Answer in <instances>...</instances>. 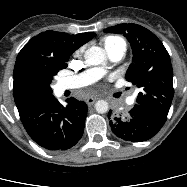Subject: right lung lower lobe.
<instances>
[{"label": "right lung lower lobe", "mask_w": 187, "mask_h": 187, "mask_svg": "<svg viewBox=\"0 0 187 187\" xmlns=\"http://www.w3.org/2000/svg\"><path fill=\"white\" fill-rule=\"evenodd\" d=\"M63 106L49 96L19 110L20 119L29 136L48 150H66L82 137L87 105L68 98Z\"/></svg>", "instance_id": "1"}]
</instances>
